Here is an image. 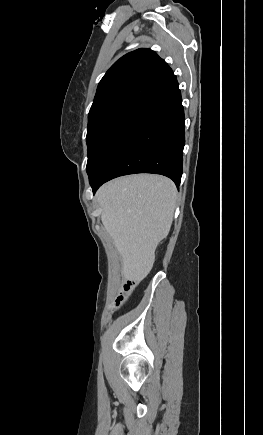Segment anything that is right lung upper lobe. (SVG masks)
Listing matches in <instances>:
<instances>
[{
  "mask_svg": "<svg viewBox=\"0 0 263 435\" xmlns=\"http://www.w3.org/2000/svg\"><path fill=\"white\" fill-rule=\"evenodd\" d=\"M176 79L154 51L137 49L119 60L99 82L89 115L99 106L132 101L144 104Z\"/></svg>",
  "mask_w": 263,
  "mask_h": 435,
  "instance_id": "obj_1",
  "label": "right lung upper lobe"
}]
</instances>
